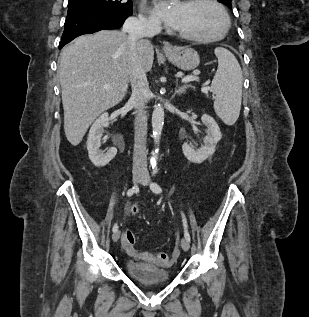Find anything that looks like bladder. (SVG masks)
<instances>
[{
    "instance_id": "1",
    "label": "bladder",
    "mask_w": 309,
    "mask_h": 317,
    "mask_svg": "<svg viewBox=\"0 0 309 317\" xmlns=\"http://www.w3.org/2000/svg\"><path fill=\"white\" fill-rule=\"evenodd\" d=\"M125 270L130 278L145 286L165 284L170 280V273L166 268L143 261L128 259Z\"/></svg>"
}]
</instances>
